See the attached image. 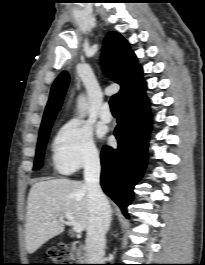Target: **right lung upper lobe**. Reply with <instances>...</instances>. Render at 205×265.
I'll return each mask as SVG.
<instances>
[{
  "mask_svg": "<svg viewBox=\"0 0 205 265\" xmlns=\"http://www.w3.org/2000/svg\"><path fill=\"white\" fill-rule=\"evenodd\" d=\"M102 57L106 61L112 80L121 86L117 94L119 107L129 106L145 95L146 84L142 78V67L127 41L115 31L109 32L104 40ZM69 75L61 73L51 88L41 128L52 125L61 107Z\"/></svg>",
  "mask_w": 205,
  "mask_h": 265,
  "instance_id": "cb5924a9",
  "label": "right lung upper lobe"
}]
</instances>
